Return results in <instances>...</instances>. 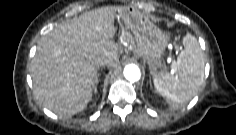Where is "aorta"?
Wrapping results in <instances>:
<instances>
[{"label": "aorta", "instance_id": "1", "mask_svg": "<svg viewBox=\"0 0 236 135\" xmlns=\"http://www.w3.org/2000/svg\"><path fill=\"white\" fill-rule=\"evenodd\" d=\"M124 77L130 82H136L141 78V72L137 65L128 64L123 69Z\"/></svg>", "mask_w": 236, "mask_h": 135}]
</instances>
